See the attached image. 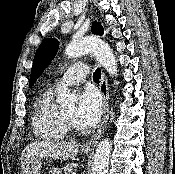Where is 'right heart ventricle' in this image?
<instances>
[{"label": "right heart ventricle", "instance_id": "1", "mask_svg": "<svg viewBox=\"0 0 175 174\" xmlns=\"http://www.w3.org/2000/svg\"><path fill=\"white\" fill-rule=\"evenodd\" d=\"M32 128L35 136L46 141H58L66 137L67 130L61 111L54 102L52 90L42 92L34 103Z\"/></svg>", "mask_w": 175, "mask_h": 174}]
</instances>
